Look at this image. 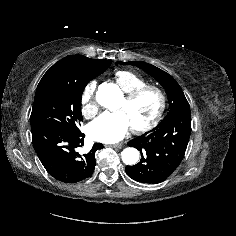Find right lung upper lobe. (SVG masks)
Instances as JSON below:
<instances>
[{"mask_svg":"<svg viewBox=\"0 0 236 236\" xmlns=\"http://www.w3.org/2000/svg\"><path fill=\"white\" fill-rule=\"evenodd\" d=\"M110 60H95L83 55H71L55 63L42 77L41 81L49 78L77 79L90 75L106 65L110 66Z\"/></svg>","mask_w":236,"mask_h":236,"instance_id":"obj_1","label":"right lung upper lobe"}]
</instances>
